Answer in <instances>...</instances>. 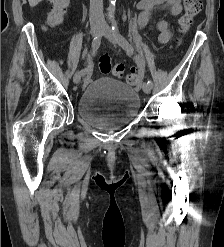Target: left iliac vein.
Returning <instances> with one entry per match:
<instances>
[{
	"instance_id": "obj_1",
	"label": "left iliac vein",
	"mask_w": 224,
	"mask_h": 247,
	"mask_svg": "<svg viewBox=\"0 0 224 247\" xmlns=\"http://www.w3.org/2000/svg\"><path fill=\"white\" fill-rule=\"evenodd\" d=\"M102 34L112 43L119 44L117 34L110 28L109 25L103 24ZM142 89L146 94H150L152 87L148 83H143Z\"/></svg>"
}]
</instances>
